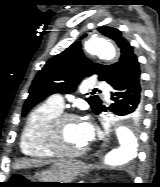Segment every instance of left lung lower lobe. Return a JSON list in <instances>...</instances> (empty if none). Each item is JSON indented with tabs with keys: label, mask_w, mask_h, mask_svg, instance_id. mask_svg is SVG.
Listing matches in <instances>:
<instances>
[{
	"label": "left lung lower lobe",
	"mask_w": 160,
	"mask_h": 187,
	"mask_svg": "<svg viewBox=\"0 0 160 187\" xmlns=\"http://www.w3.org/2000/svg\"><path fill=\"white\" fill-rule=\"evenodd\" d=\"M109 108L101 104L97 114L110 111L117 116H123L139 123L143 113V92L140 79V66L137 57H133L124 73L112 84Z\"/></svg>",
	"instance_id": "obj_1"
}]
</instances>
